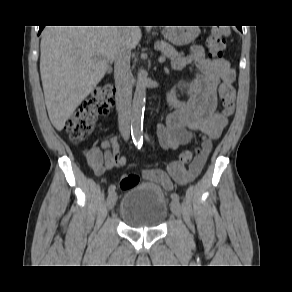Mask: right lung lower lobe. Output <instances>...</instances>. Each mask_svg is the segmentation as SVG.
I'll use <instances>...</instances> for the list:
<instances>
[{
    "mask_svg": "<svg viewBox=\"0 0 292 292\" xmlns=\"http://www.w3.org/2000/svg\"><path fill=\"white\" fill-rule=\"evenodd\" d=\"M44 27H45V26H40V28H39V33H38V34L41 33V31L43 30Z\"/></svg>",
    "mask_w": 292,
    "mask_h": 292,
    "instance_id": "obj_1",
    "label": "right lung lower lobe"
}]
</instances>
